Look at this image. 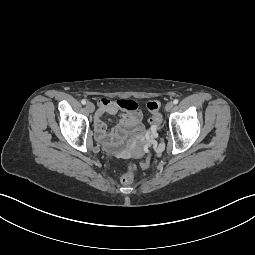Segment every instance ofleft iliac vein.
<instances>
[{
	"instance_id": "4c4485c4",
	"label": "left iliac vein",
	"mask_w": 255,
	"mask_h": 255,
	"mask_svg": "<svg viewBox=\"0 0 255 255\" xmlns=\"http://www.w3.org/2000/svg\"><path fill=\"white\" fill-rule=\"evenodd\" d=\"M173 107H174V104H173L172 102H168V103L166 104V106H165V110H166L167 112H169V111H171V110L173 109Z\"/></svg>"
}]
</instances>
